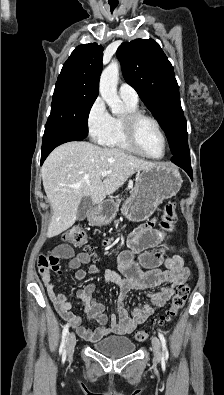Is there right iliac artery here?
Returning <instances> with one entry per match:
<instances>
[{"mask_svg":"<svg viewBox=\"0 0 224 395\" xmlns=\"http://www.w3.org/2000/svg\"><path fill=\"white\" fill-rule=\"evenodd\" d=\"M69 327H70V324L67 323V324L64 326L63 331H62V341H61V345H60V352L62 353L63 359L66 358L65 339H66V336H67V334H68Z\"/></svg>","mask_w":224,"mask_h":395,"instance_id":"right-iliac-artery-1","label":"right iliac artery"}]
</instances>
